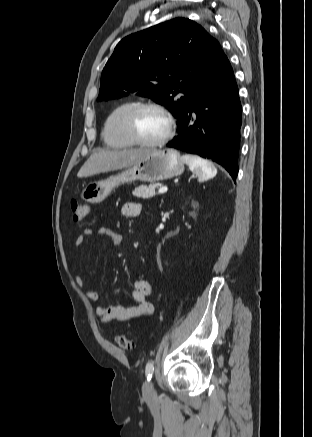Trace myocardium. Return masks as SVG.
<instances>
[{"mask_svg":"<svg viewBox=\"0 0 312 437\" xmlns=\"http://www.w3.org/2000/svg\"><path fill=\"white\" fill-rule=\"evenodd\" d=\"M154 110L162 114L165 119L167 120V131L163 137H161L158 140L154 141H147L142 139L136 130V119L137 116L144 110ZM124 129L129 137V139L136 145L143 146V147H159L166 143H168L172 137L174 136L175 132V120L171 113L161 106L160 104L154 103V102H142L134 104L126 113L124 117Z\"/></svg>","mask_w":312,"mask_h":437,"instance_id":"1","label":"myocardium"}]
</instances>
